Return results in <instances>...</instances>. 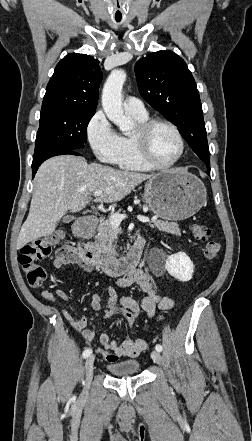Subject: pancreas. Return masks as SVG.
Returning <instances> with one entry per match:
<instances>
[{
    "label": "pancreas",
    "mask_w": 252,
    "mask_h": 441,
    "mask_svg": "<svg viewBox=\"0 0 252 441\" xmlns=\"http://www.w3.org/2000/svg\"><path fill=\"white\" fill-rule=\"evenodd\" d=\"M120 211L117 213L119 214ZM150 227L157 228L162 232L179 235L181 230L175 222L162 220H152ZM118 230H115L110 223V219H102L97 227V235L95 236L94 249L101 260L112 257L115 253L114 241L117 239Z\"/></svg>",
    "instance_id": "obj_1"
}]
</instances>
